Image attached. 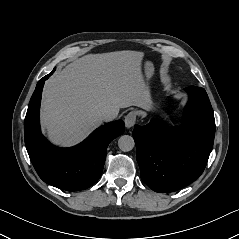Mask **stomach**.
Wrapping results in <instances>:
<instances>
[{"mask_svg": "<svg viewBox=\"0 0 239 239\" xmlns=\"http://www.w3.org/2000/svg\"><path fill=\"white\" fill-rule=\"evenodd\" d=\"M153 72H154L153 65L150 62H146L145 67H144V74H145V80H146L148 87H149L151 78L153 76ZM149 102H150L149 105H151L152 100H151L150 91H149Z\"/></svg>", "mask_w": 239, "mask_h": 239, "instance_id": "obj_1", "label": "stomach"}]
</instances>
